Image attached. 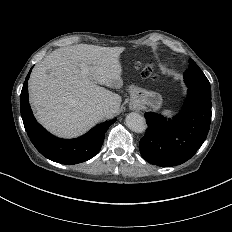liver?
I'll return each instance as SVG.
<instances>
[{
    "label": "liver",
    "instance_id": "1",
    "mask_svg": "<svg viewBox=\"0 0 232 232\" xmlns=\"http://www.w3.org/2000/svg\"><path fill=\"white\" fill-rule=\"evenodd\" d=\"M124 49L78 44L46 56L28 81L38 122L59 137L72 138L118 113L121 96L99 85L122 87L119 57ZM81 63L89 66L88 75L81 73ZM104 106L110 113L102 114Z\"/></svg>",
    "mask_w": 232,
    "mask_h": 232
}]
</instances>
